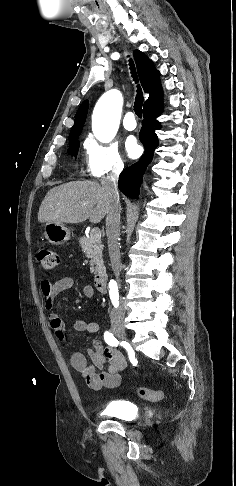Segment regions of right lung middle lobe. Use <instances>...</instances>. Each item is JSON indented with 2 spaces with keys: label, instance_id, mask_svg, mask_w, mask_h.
Returning <instances> with one entry per match:
<instances>
[{
  "label": "right lung middle lobe",
  "instance_id": "dd1d6c3e",
  "mask_svg": "<svg viewBox=\"0 0 236 486\" xmlns=\"http://www.w3.org/2000/svg\"><path fill=\"white\" fill-rule=\"evenodd\" d=\"M77 140L78 138L71 140L69 145L70 148L68 149V153L71 155H75V157L77 156V152L79 149V142H77Z\"/></svg>",
  "mask_w": 236,
  "mask_h": 486
}]
</instances>
